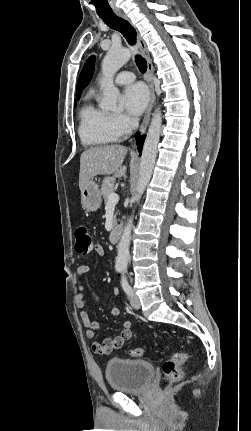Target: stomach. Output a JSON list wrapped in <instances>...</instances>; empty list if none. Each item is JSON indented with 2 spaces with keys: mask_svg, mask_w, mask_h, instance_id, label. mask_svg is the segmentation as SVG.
I'll return each instance as SVG.
<instances>
[{
  "mask_svg": "<svg viewBox=\"0 0 251 431\" xmlns=\"http://www.w3.org/2000/svg\"><path fill=\"white\" fill-rule=\"evenodd\" d=\"M102 199L99 186L90 180L81 190V204L87 211H96L100 208Z\"/></svg>",
  "mask_w": 251,
  "mask_h": 431,
  "instance_id": "stomach-1",
  "label": "stomach"
}]
</instances>
